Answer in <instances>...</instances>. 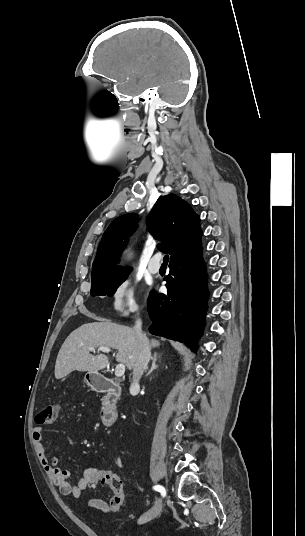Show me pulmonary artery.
Returning a JSON list of instances; mask_svg holds the SVG:
<instances>
[{"label": "pulmonary artery", "instance_id": "e3ab8cb5", "mask_svg": "<svg viewBox=\"0 0 305 536\" xmlns=\"http://www.w3.org/2000/svg\"><path fill=\"white\" fill-rule=\"evenodd\" d=\"M151 260L152 262L149 263L148 270L151 273L156 274L159 272L160 267H161L160 264L158 263L160 260V254L158 253V254L152 255Z\"/></svg>", "mask_w": 305, "mask_h": 536}]
</instances>
